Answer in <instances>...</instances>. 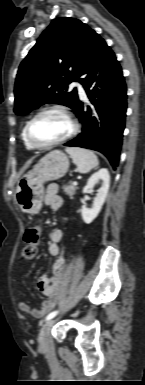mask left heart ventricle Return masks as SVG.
I'll return each instance as SVG.
<instances>
[{
    "mask_svg": "<svg viewBox=\"0 0 145 385\" xmlns=\"http://www.w3.org/2000/svg\"><path fill=\"white\" fill-rule=\"evenodd\" d=\"M70 131L68 120L59 113L49 112L38 117L31 127V138L39 145H46L63 138Z\"/></svg>",
    "mask_w": 145,
    "mask_h": 385,
    "instance_id": "1",
    "label": "left heart ventricle"
}]
</instances>
